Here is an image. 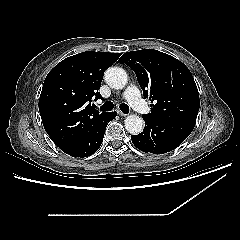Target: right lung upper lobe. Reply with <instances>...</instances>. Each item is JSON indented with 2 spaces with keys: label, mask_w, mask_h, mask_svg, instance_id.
Masks as SVG:
<instances>
[{
  "label": "right lung upper lobe",
  "mask_w": 240,
  "mask_h": 240,
  "mask_svg": "<svg viewBox=\"0 0 240 240\" xmlns=\"http://www.w3.org/2000/svg\"><path fill=\"white\" fill-rule=\"evenodd\" d=\"M120 53L86 51L58 63L46 76L39 99L43 126L61 149L93 133L106 113L91 107V99L102 98L104 71Z\"/></svg>",
  "instance_id": "right-lung-upper-lobe-1"
}]
</instances>
